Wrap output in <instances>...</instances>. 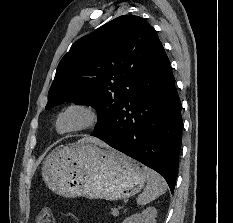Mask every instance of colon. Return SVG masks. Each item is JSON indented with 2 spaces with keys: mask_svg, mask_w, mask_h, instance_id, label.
Wrapping results in <instances>:
<instances>
[{
  "mask_svg": "<svg viewBox=\"0 0 233 223\" xmlns=\"http://www.w3.org/2000/svg\"><path fill=\"white\" fill-rule=\"evenodd\" d=\"M37 223H54V219L52 213L48 209H44L37 220Z\"/></svg>",
  "mask_w": 233,
  "mask_h": 223,
  "instance_id": "obj_1",
  "label": "colon"
}]
</instances>
